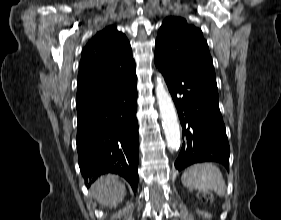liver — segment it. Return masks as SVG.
<instances>
[{
    "mask_svg": "<svg viewBox=\"0 0 281 220\" xmlns=\"http://www.w3.org/2000/svg\"><path fill=\"white\" fill-rule=\"evenodd\" d=\"M91 193L101 205L112 208L122 202L126 188L118 176L106 175L92 184Z\"/></svg>",
    "mask_w": 281,
    "mask_h": 220,
    "instance_id": "liver-1",
    "label": "liver"
}]
</instances>
